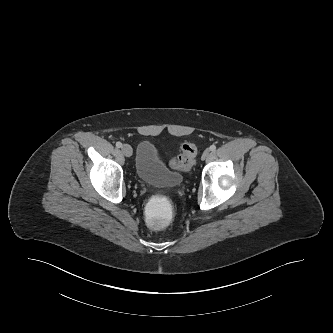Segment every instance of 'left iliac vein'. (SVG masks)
<instances>
[{
    "instance_id": "left-iliac-vein-1",
    "label": "left iliac vein",
    "mask_w": 333,
    "mask_h": 333,
    "mask_svg": "<svg viewBox=\"0 0 333 333\" xmlns=\"http://www.w3.org/2000/svg\"><path fill=\"white\" fill-rule=\"evenodd\" d=\"M209 155H210V150L206 149L202 154V160L207 159L209 157Z\"/></svg>"
}]
</instances>
